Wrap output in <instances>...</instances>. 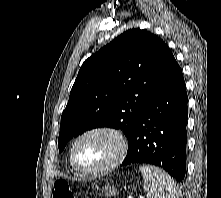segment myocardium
I'll list each match as a JSON object with an SVG mask.
<instances>
[{
    "label": "myocardium",
    "instance_id": "obj_1",
    "mask_svg": "<svg viewBox=\"0 0 221 198\" xmlns=\"http://www.w3.org/2000/svg\"><path fill=\"white\" fill-rule=\"evenodd\" d=\"M94 134H106L111 136L116 141L117 144L116 152L106 164H104L99 168L95 169L82 168L76 163L75 160L76 146L80 140ZM127 150H128L127 139L119 129L112 126L101 125L86 129L85 131L81 132L79 135L76 136V138L71 144L69 158L72 167L77 172L84 175H101L117 167L126 156Z\"/></svg>",
    "mask_w": 221,
    "mask_h": 198
}]
</instances>
